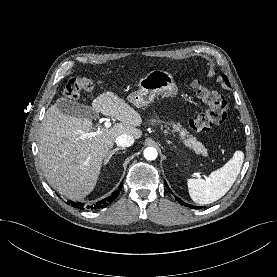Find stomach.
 I'll use <instances>...</instances> for the list:
<instances>
[{
  "instance_id": "obj_1",
  "label": "stomach",
  "mask_w": 277,
  "mask_h": 277,
  "mask_svg": "<svg viewBox=\"0 0 277 277\" xmlns=\"http://www.w3.org/2000/svg\"><path fill=\"white\" fill-rule=\"evenodd\" d=\"M138 85L139 90L128 96V100L137 108L150 104L156 95L164 93L175 96L177 94V86L173 80V76L164 70L149 72L139 81Z\"/></svg>"
}]
</instances>
